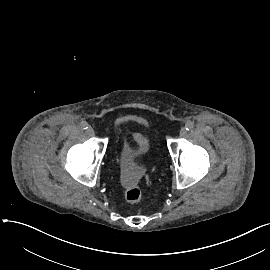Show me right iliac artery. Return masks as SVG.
Segmentation results:
<instances>
[{
	"mask_svg": "<svg viewBox=\"0 0 270 270\" xmlns=\"http://www.w3.org/2000/svg\"><path fill=\"white\" fill-rule=\"evenodd\" d=\"M80 126L84 130L88 129V123L86 121L81 122Z\"/></svg>",
	"mask_w": 270,
	"mask_h": 270,
	"instance_id": "82829eb1",
	"label": "right iliac artery"
}]
</instances>
